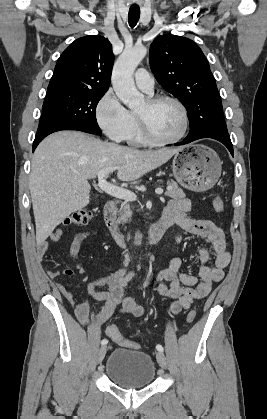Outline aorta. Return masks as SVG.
I'll use <instances>...</instances> for the list:
<instances>
[{"label":"aorta","mask_w":267,"mask_h":419,"mask_svg":"<svg viewBox=\"0 0 267 419\" xmlns=\"http://www.w3.org/2000/svg\"><path fill=\"white\" fill-rule=\"evenodd\" d=\"M147 50L143 46L125 49L114 64L112 85L117 97L130 109L143 105L144 95L137 91L133 73L145 57Z\"/></svg>","instance_id":"762f6f07"}]
</instances>
